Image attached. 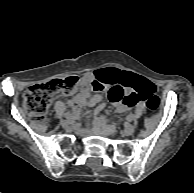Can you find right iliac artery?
I'll return each instance as SVG.
<instances>
[{
  "instance_id": "82829eb1",
  "label": "right iliac artery",
  "mask_w": 194,
  "mask_h": 193,
  "mask_svg": "<svg viewBox=\"0 0 194 193\" xmlns=\"http://www.w3.org/2000/svg\"><path fill=\"white\" fill-rule=\"evenodd\" d=\"M66 118L73 120V115L71 113H66Z\"/></svg>"
}]
</instances>
